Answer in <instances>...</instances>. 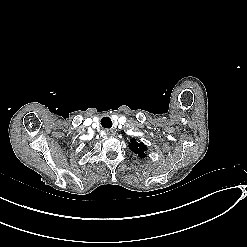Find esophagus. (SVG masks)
<instances>
[{
    "label": "esophagus",
    "mask_w": 247,
    "mask_h": 247,
    "mask_svg": "<svg viewBox=\"0 0 247 247\" xmlns=\"http://www.w3.org/2000/svg\"><path fill=\"white\" fill-rule=\"evenodd\" d=\"M109 135L114 136V135H115V132L110 131V132H109Z\"/></svg>",
    "instance_id": "34e87169"
}]
</instances>
